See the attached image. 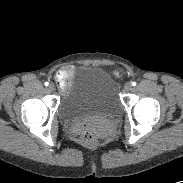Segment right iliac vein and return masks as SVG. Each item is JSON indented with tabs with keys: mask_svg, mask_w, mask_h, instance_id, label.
<instances>
[{
	"mask_svg": "<svg viewBox=\"0 0 183 183\" xmlns=\"http://www.w3.org/2000/svg\"><path fill=\"white\" fill-rule=\"evenodd\" d=\"M48 90L51 91V92L54 91L55 90V86L53 84H50L48 86Z\"/></svg>",
	"mask_w": 183,
	"mask_h": 183,
	"instance_id": "right-iliac-vein-1",
	"label": "right iliac vein"
}]
</instances>
